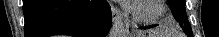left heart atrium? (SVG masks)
Listing matches in <instances>:
<instances>
[{"label": "left heart atrium", "mask_w": 219, "mask_h": 37, "mask_svg": "<svg viewBox=\"0 0 219 37\" xmlns=\"http://www.w3.org/2000/svg\"><path fill=\"white\" fill-rule=\"evenodd\" d=\"M122 2L127 6V8L134 7V5L137 3L136 0H124Z\"/></svg>", "instance_id": "39dd6f15"}]
</instances>
